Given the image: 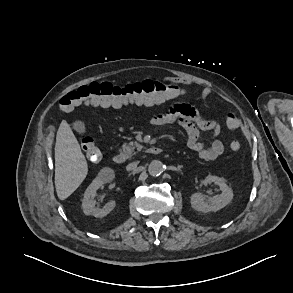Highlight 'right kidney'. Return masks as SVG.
<instances>
[{
    "label": "right kidney",
    "mask_w": 293,
    "mask_h": 293,
    "mask_svg": "<svg viewBox=\"0 0 293 293\" xmlns=\"http://www.w3.org/2000/svg\"><path fill=\"white\" fill-rule=\"evenodd\" d=\"M114 177V172L112 170H108V175L106 177L107 180H110ZM104 180L100 177L95 178L92 183L88 186L84 193V197L82 200V209L85 215H93L97 218H102L109 214L115 207V202L110 201L103 208L95 207L94 196L96 191L103 185Z\"/></svg>",
    "instance_id": "1"
}]
</instances>
